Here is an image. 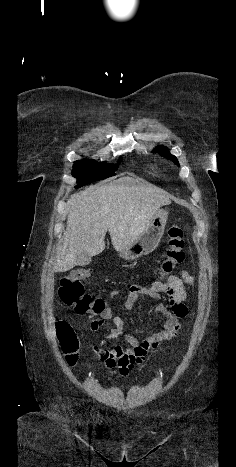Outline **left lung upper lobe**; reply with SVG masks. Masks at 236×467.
Listing matches in <instances>:
<instances>
[{
	"instance_id": "5c2ea615",
	"label": "left lung upper lobe",
	"mask_w": 236,
	"mask_h": 467,
	"mask_svg": "<svg viewBox=\"0 0 236 467\" xmlns=\"http://www.w3.org/2000/svg\"><path fill=\"white\" fill-rule=\"evenodd\" d=\"M153 152H159V154L163 157H166L167 159L172 160L175 164L179 166L178 160L175 156L171 155L166 147L159 146L156 149H154Z\"/></svg>"
}]
</instances>
